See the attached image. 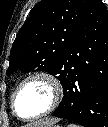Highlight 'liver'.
<instances>
[{"mask_svg":"<svg viewBox=\"0 0 108 127\" xmlns=\"http://www.w3.org/2000/svg\"><path fill=\"white\" fill-rule=\"evenodd\" d=\"M57 122L56 118L46 119L42 121H38L29 125H26L25 127H37V126H46Z\"/></svg>","mask_w":108,"mask_h":127,"instance_id":"1","label":"liver"}]
</instances>
